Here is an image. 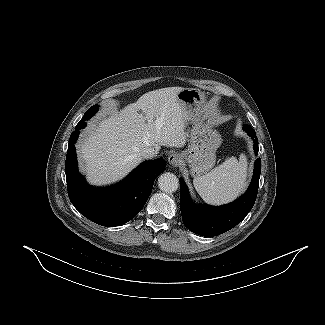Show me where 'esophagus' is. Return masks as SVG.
<instances>
[{"instance_id":"esophagus-1","label":"esophagus","mask_w":325,"mask_h":325,"mask_svg":"<svg viewBox=\"0 0 325 325\" xmlns=\"http://www.w3.org/2000/svg\"><path fill=\"white\" fill-rule=\"evenodd\" d=\"M181 161H182V158L177 153H171L168 156V162H169V164L172 165V166H174V167L180 165L181 164Z\"/></svg>"}]
</instances>
